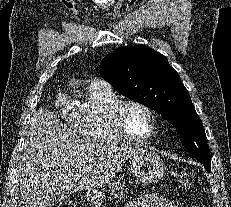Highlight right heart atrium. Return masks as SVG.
Listing matches in <instances>:
<instances>
[{"mask_svg":"<svg viewBox=\"0 0 231 207\" xmlns=\"http://www.w3.org/2000/svg\"><path fill=\"white\" fill-rule=\"evenodd\" d=\"M54 107L58 112L60 118L71 125H74L75 122V113L70 109V101L67 94L64 92H59L54 97Z\"/></svg>","mask_w":231,"mask_h":207,"instance_id":"obj_1","label":"right heart atrium"}]
</instances>
